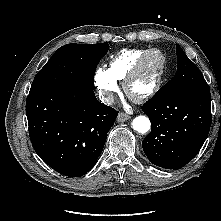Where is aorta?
<instances>
[{
    "mask_svg": "<svg viewBox=\"0 0 221 221\" xmlns=\"http://www.w3.org/2000/svg\"><path fill=\"white\" fill-rule=\"evenodd\" d=\"M151 126L150 120L146 116H137L132 121V127L139 133H146Z\"/></svg>",
    "mask_w": 221,
    "mask_h": 221,
    "instance_id": "1",
    "label": "aorta"
}]
</instances>
